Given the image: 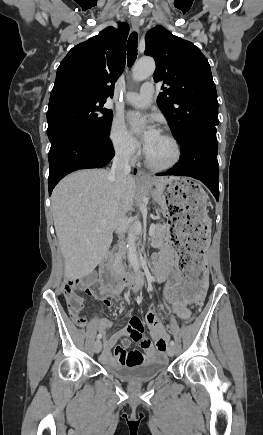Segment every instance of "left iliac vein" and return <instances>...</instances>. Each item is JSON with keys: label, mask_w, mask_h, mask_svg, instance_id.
<instances>
[{"label": "left iliac vein", "mask_w": 263, "mask_h": 435, "mask_svg": "<svg viewBox=\"0 0 263 435\" xmlns=\"http://www.w3.org/2000/svg\"><path fill=\"white\" fill-rule=\"evenodd\" d=\"M167 353L169 356H173L175 354V347L170 345L167 349Z\"/></svg>", "instance_id": "left-iliac-vein-1"}]
</instances>
